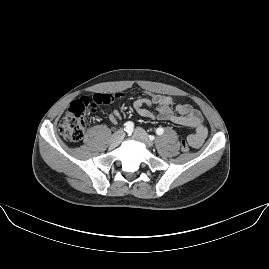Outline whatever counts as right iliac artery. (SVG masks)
<instances>
[{"label":"right iliac artery","mask_w":269,"mask_h":269,"mask_svg":"<svg viewBox=\"0 0 269 269\" xmlns=\"http://www.w3.org/2000/svg\"><path fill=\"white\" fill-rule=\"evenodd\" d=\"M133 128H134V124L133 122L131 121H128L124 124V130L127 132V133H131L133 131Z\"/></svg>","instance_id":"82829eb1"}]
</instances>
